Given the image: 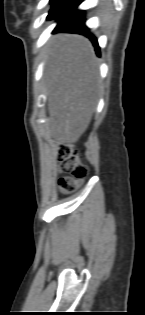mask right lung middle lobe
Segmentation results:
<instances>
[{
  "label": "right lung middle lobe",
  "mask_w": 145,
  "mask_h": 315,
  "mask_svg": "<svg viewBox=\"0 0 145 315\" xmlns=\"http://www.w3.org/2000/svg\"><path fill=\"white\" fill-rule=\"evenodd\" d=\"M68 0H50L52 8L47 19H52Z\"/></svg>",
  "instance_id": "dd1d6c3e"
}]
</instances>
